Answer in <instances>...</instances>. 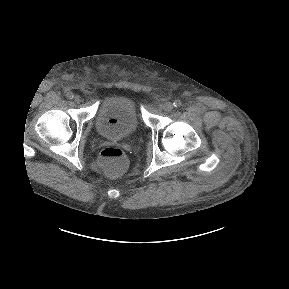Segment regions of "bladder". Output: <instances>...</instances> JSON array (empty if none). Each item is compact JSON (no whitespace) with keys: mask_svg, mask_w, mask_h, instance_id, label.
I'll use <instances>...</instances> for the list:
<instances>
[{"mask_svg":"<svg viewBox=\"0 0 289 289\" xmlns=\"http://www.w3.org/2000/svg\"><path fill=\"white\" fill-rule=\"evenodd\" d=\"M97 133L109 140H125L136 135L139 116L135 101L126 95H111L98 106L94 117Z\"/></svg>","mask_w":289,"mask_h":289,"instance_id":"1","label":"bladder"}]
</instances>
